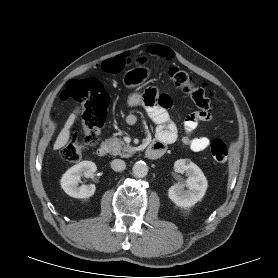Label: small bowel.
Returning a JSON list of instances; mask_svg holds the SVG:
<instances>
[{
    "instance_id": "c3829d8e",
    "label": "small bowel",
    "mask_w": 278,
    "mask_h": 278,
    "mask_svg": "<svg viewBox=\"0 0 278 278\" xmlns=\"http://www.w3.org/2000/svg\"><path fill=\"white\" fill-rule=\"evenodd\" d=\"M172 104V99L167 94H161L155 87L148 88L143 94L133 93L128 97L129 107L143 105L149 117L156 125L155 142L164 146L174 143L178 138V128L171 120L167 108ZM213 119L209 111L199 110L189 114L184 121V135L182 142L194 152H201L210 146V139L205 136L193 137L200 122H209ZM129 125L137 122L134 114L126 117Z\"/></svg>"
}]
</instances>
